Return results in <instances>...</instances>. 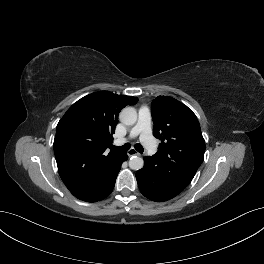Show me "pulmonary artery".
Returning <instances> with one entry per match:
<instances>
[{
  "mask_svg": "<svg viewBox=\"0 0 264 264\" xmlns=\"http://www.w3.org/2000/svg\"><path fill=\"white\" fill-rule=\"evenodd\" d=\"M150 122H151V113L148 107H141L138 113V121L136 125L131 129L128 138L119 139L117 141L118 145L124 144L127 140L133 139L139 136L140 141L147 149L150 155L156 153V144L151 135L150 130Z\"/></svg>",
  "mask_w": 264,
  "mask_h": 264,
  "instance_id": "pulmonary-artery-1",
  "label": "pulmonary artery"
}]
</instances>
